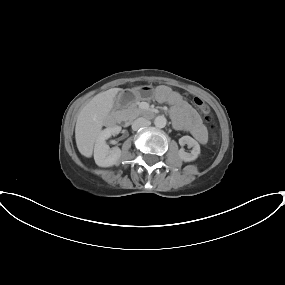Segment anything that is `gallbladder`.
<instances>
[{
  "mask_svg": "<svg viewBox=\"0 0 285 285\" xmlns=\"http://www.w3.org/2000/svg\"><path fill=\"white\" fill-rule=\"evenodd\" d=\"M120 94L122 95V98H123V95L125 96V94H124V92L122 91V92H120Z\"/></svg>",
  "mask_w": 285,
  "mask_h": 285,
  "instance_id": "bac80fb5",
  "label": "gallbladder"
}]
</instances>
